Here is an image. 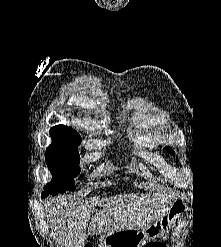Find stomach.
Here are the masks:
<instances>
[{"label": "stomach", "mask_w": 221, "mask_h": 247, "mask_svg": "<svg viewBox=\"0 0 221 247\" xmlns=\"http://www.w3.org/2000/svg\"><path fill=\"white\" fill-rule=\"evenodd\" d=\"M187 204L180 199L171 202L163 215L144 228L117 230L100 237L101 247H144L154 238L162 236L186 213Z\"/></svg>", "instance_id": "1"}]
</instances>
